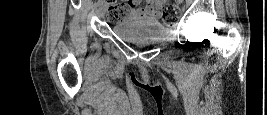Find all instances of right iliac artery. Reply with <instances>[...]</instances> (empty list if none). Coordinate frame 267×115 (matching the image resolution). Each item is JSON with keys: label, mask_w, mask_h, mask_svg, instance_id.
I'll use <instances>...</instances> for the list:
<instances>
[{"label": "right iliac artery", "mask_w": 267, "mask_h": 115, "mask_svg": "<svg viewBox=\"0 0 267 115\" xmlns=\"http://www.w3.org/2000/svg\"><path fill=\"white\" fill-rule=\"evenodd\" d=\"M101 3H102L101 1H98V5H101Z\"/></svg>", "instance_id": "1"}]
</instances>
